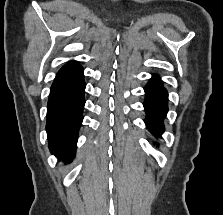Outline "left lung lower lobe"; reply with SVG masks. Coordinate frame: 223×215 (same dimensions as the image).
I'll return each instance as SVG.
<instances>
[{"label": "left lung lower lobe", "instance_id": "left-lung-lower-lobe-1", "mask_svg": "<svg viewBox=\"0 0 223 215\" xmlns=\"http://www.w3.org/2000/svg\"><path fill=\"white\" fill-rule=\"evenodd\" d=\"M144 90L146 94L144 108L147 114L145 123L153 135L159 136L164 130L163 119L168 110V93L156 75H153Z\"/></svg>", "mask_w": 223, "mask_h": 215}]
</instances>
